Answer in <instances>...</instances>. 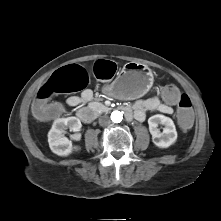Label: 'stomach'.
<instances>
[{"label": "stomach", "instance_id": "stomach-1", "mask_svg": "<svg viewBox=\"0 0 221 221\" xmlns=\"http://www.w3.org/2000/svg\"><path fill=\"white\" fill-rule=\"evenodd\" d=\"M154 76L146 65L128 62L110 85L111 94L120 99H135L152 86Z\"/></svg>", "mask_w": 221, "mask_h": 221}]
</instances>
